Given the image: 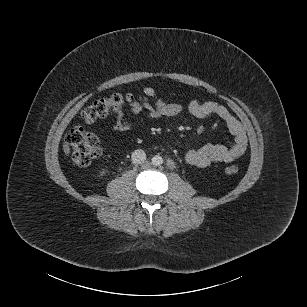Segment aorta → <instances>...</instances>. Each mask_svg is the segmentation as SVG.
Masks as SVG:
<instances>
[{"label":"aorta","mask_w":307,"mask_h":307,"mask_svg":"<svg viewBox=\"0 0 307 307\" xmlns=\"http://www.w3.org/2000/svg\"><path fill=\"white\" fill-rule=\"evenodd\" d=\"M152 164L155 166H160L163 164V158L160 155H155L152 157Z\"/></svg>","instance_id":"1"}]
</instances>
